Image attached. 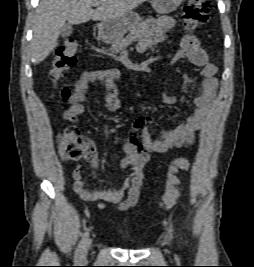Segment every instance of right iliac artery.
<instances>
[{
	"instance_id": "right-iliac-artery-1",
	"label": "right iliac artery",
	"mask_w": 254,
	"mask_h": 267,
	"mask_svg": "<svg viewBox=\"0 0 254 267\" xmlns=\"http://www.w3.org/2000/svg\"><path fill=\"white\" fill-rule=\"evenodd\" d=\"M88 236H89V233L88 232L84 233L83 236H82V239H81L80 243L78 244V247H77L76 252H75V261L76 262L81 257V253H82V250L84 248V245H85V243L87 241Z\"/></svg>"
}]
</instances>
